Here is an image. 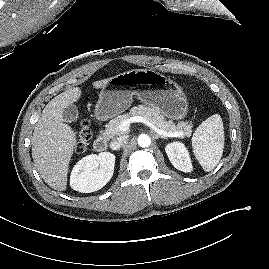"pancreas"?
Segmentation results:
<instances>
[{
  "mask_svg": "<svg viewBox=\"0 0 269 269\" xmlns=\"http://www.w3.org/2000/svg\"><path fill=\"white\" fill-rule=\"evenodd\" d=\"M131 116H142L152 122L156 127L166 132H174L183 129L186 136L191 135V124L181 122L175 126L171 120H166L165 116L162 115L158 109L146 105H138L132 107L129 113L117 116L109 121L105 131L106 138L112 139L115 136L123 135L124 132L119 130V125L122 121L129 119Z\"/></svg>",
  "mask_w": 269,
  "mask_h": 269,
  "instance_id": "1",
  "label": "pancreas"
}]
</instances>
